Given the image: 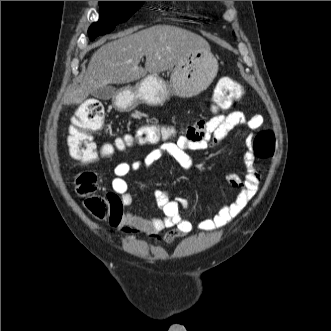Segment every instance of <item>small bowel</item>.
I'll return each instance as SVG.
<instances>
[{"instance_id": "1", "label": "small bowel", "mask_w": 331, "mask_h": 331, "mask_svg": "<svg viewBox=\"0 0 331 331\" xmlns=\"http://www.w3.org/2000/svg\"><path fill=\"white\" fill-rule=\"evenodd\" d=\"M264 118L261 114L247 116L241 111L215 115L207 120H198L186 127L184 133L175 141H165L148 153L144 158L131 163L121 162L114 168V177L111 185L113 191L119 195L121 205L128 207L133 203V197L129 192L125 179L129 173L140 169H149L157 160L164 156L171 157L183 167L191 165L188 151L209 150L219 145L229 131L237 126H245L250 130H256L263 125ZM252 136L246 137V144L251 146ZM254 152L248 150L244 155L246 166L245 176L231 174L227 177L228 183L239 191L234 200L222 206L215 214L208 213L198 216L197 228L210 232L219 230L235 219L247 206L256 194L260 182V175L254 166ZM155 198L163 211L161 217L147 218L132 212L122 213L117 221L120 230L129 235L144 233L155 236L165 229H171L165 235V241L173 242L193 230V223L182 216V212L188 210L189 203L183 197L170 198L167 192L157 190Z\"/></svg>"}]
</instances>
